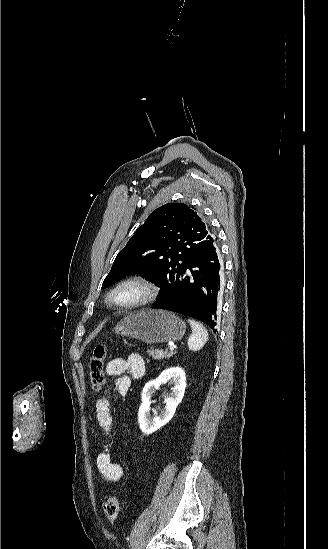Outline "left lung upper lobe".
<instances>
[{
	"mask_svg": "<svg viewBox=\"0 0 328 549\" xmlns=\"http://www.w3.org/2000/svg\"><path fill=\"white\" fill-rule=\"evenodd\" d=\"M214 238L200 216L182 203L154 210L116 256L102 288L131 273H139L160 287L161 299L174 288L188 264Z\"/></svg>",
	"mask_w": 328,
	"mask_h": 549,
	"instance_id": "obj_1",
	"label": "left lung upper lobe"
}]
</instances>
